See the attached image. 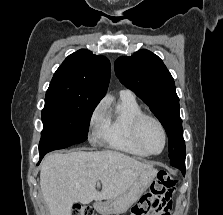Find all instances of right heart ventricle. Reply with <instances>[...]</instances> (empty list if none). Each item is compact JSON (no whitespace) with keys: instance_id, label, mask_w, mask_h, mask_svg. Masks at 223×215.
Masks as SVG:
<instances>
[{"instance_id":"1","label":"right heart ventricle","mask_w":223,"mask_h":215,"mask_svg":"<svg viewBox=\"0 0 223 215\" xmlns=\"http://www.w3.org/2000/svg\"><path fill=\"white\" fill-rule=\"evenodd\" d=\"M143 114L134 96L121 95L115 108L105 110V122L95 135L109 147L135 156H143L133 137V126L138 116Z\"/></svg>"}]
</instances>
